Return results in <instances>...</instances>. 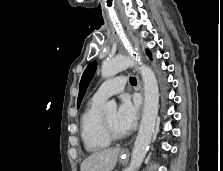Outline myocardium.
<instances>
[{"label": "myocardium", "mask_w": 223, "mask_h": 171, "mask_svg": "<svg viewBox=\"0 0 223 171\" xmlns=\"http://www.w3.org/2000/svg\"><path fill=\"white\" fill-rule=\"evenodd\" d=\"M101 127L105 137L110 141H117L125 137L124 134H115L109 127L104 115H101Z\"/></svg>", "instance_id": "myocardium-1"}]
</instances>
